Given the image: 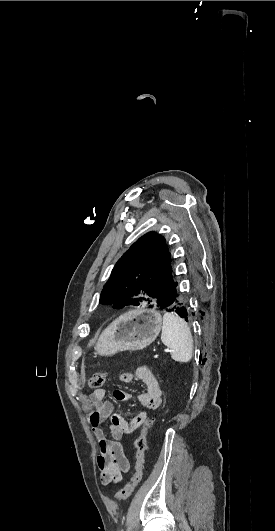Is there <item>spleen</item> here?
<instances>
[{"label": "spleen", "mask_w": 275, "mask_h": 531, "mask_svg": "<svg viewBox=\"0 0 275 531\" xmlns=\"http://www.w3.org/2000/svg\"><path fill=\"white\" fill-rule=\"evenodd\" d=\"M161 341L171 350V357L179 363H188L193 353V339L188 323L175 313L163 315Z\"/></svg>", "instance_id": "spleen-1"}]
</instances>
